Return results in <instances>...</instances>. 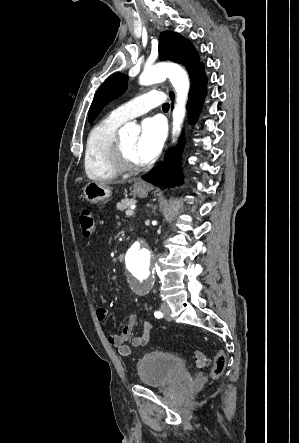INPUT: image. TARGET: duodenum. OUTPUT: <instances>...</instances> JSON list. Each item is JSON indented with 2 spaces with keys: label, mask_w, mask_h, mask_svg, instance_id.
<instances>
[{
  "label": "duodenum",
  "mask_w": 299,
  "mask_h": 443,
  "mask_svg": "<svg viewBox=\"0 0 299 443\" xmlns=\"http://www.w3.org/2000/svg\"><path fill=\"white\" fill-rule=\"evenodd\" d=\"M124 257H125V254L122 253V254H120V255L118 256V259H119V260H122Z\"/></svg>",
  "instance_id": "obj_1"
}]
</instances>
